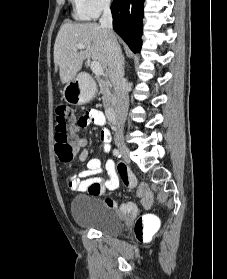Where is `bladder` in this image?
<instances>
[{
    "mask_svg": "<svg viewBox=\"0 0 227 279\" xmlns=\"http://www.w3.org/2000/svg\"><path fill=\"white\" fill-rule=\"evenodd\" d=\"M71 216L77 225L97 230L109 236H119L123 231V222L115 212L109 209L104 200H97V194L78 196L73 202Z\"/></svg>",
    "mask_w": 227,
    "mask_h": 279,
    "instance_id": "obj_1",
    "label": "bladder"
}]
</instances>
